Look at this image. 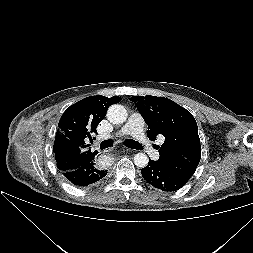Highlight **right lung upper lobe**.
I'll return each instance as SVG.
<instances>
[{"label": "right lung upper lobe", "mask_w": 253, "mask_h": 253, "mask_svg": "<svg viewBox=\"0 0 253 253\" xmlns=\"http://www.w3.org/2000/svg\"><path fill=\"white\" fill-rule=\"evenodd\" d=\"M121 101L119 96H91L73 104L63 113L56 132L53 152L61 172L75 170L94 160L87 139L97 133L98 124L110 105Z\"/></svg>", "instance_id": "right-lung-upper-lobe-1"}]
</instances>
